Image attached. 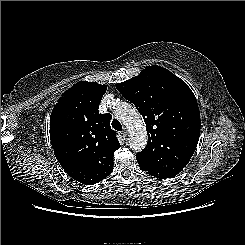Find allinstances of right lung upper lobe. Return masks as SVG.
I'll return each instance as SVG.
<instances>
[{
  "label": "right lung upper lobe",
  "mask_w": 245,
  "mask_h": 245,
  "mask_svg": "<svg viewBox=\"0 0 245 245\" xmlns=\"http://www.w3.org/2000/svg\"><path fill=\"white\" fill-rule=\"evenodd\" d=\"M106 89V85L80 81L62 94L50 116V139L58 162L64 170L76 171L85 185L105 178L120 148L110 127L112 116L98 110Z\"/></svg>",
  "instance_id": "cb5924a9"
}]
</instances>
